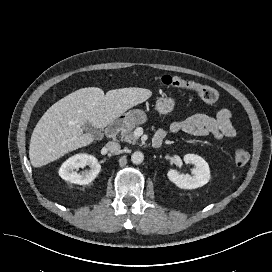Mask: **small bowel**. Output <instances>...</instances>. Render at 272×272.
I'll return each instance as SVG.
<instances>
[{
	"mask_svg": "<svg viewBox=\"0 0 272 272\" xmlns=\"http://www.w3.org/2000/svg\"><path fill=\"white\" fill-rule=\"evenodd\" d=\"M170 133H185L195 137L214 136L217 139L234 137L236 131L231 123V112L222 109L215 117L195 114L186 119L174 121L169 127ZM168 132L159 129L155 136L164 139Z\"/></svg>",
	"mask_w": 272,
	"mask_h": 272,
	"instance_id": "small-bowel-1",
	"label": "small bowel"
}]
</instances>
